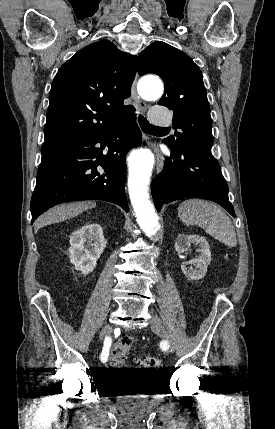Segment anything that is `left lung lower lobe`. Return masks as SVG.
I'll list each match as a JSON object with an SVG mask.
<instances>
[{
	"label": "left lung lower lobe",
	"mask_w": 275,
	"mask_h": 429,
	"mask_svg": "<svg viewBox=\"0 0 275 429\" xmlns=\"http://www.w3.org/2000/svg\"><path fill=\"white\" fill-rule=\"evenodd\" d=\"M151 190L158 211L174 200L202 198L220 204L236 217L219 163L203 147L171 148V157L166 158L163 171L152 181Z\"/></svg>",
	"instance_id": "0a47b994"
}]
</instances>
